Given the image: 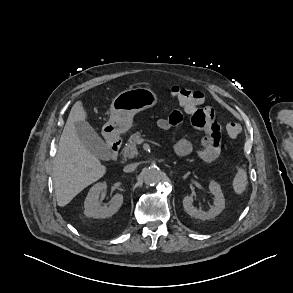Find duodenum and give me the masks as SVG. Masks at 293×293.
I'll list each match as a JSON object with an SVG mask.
<instances>
[{"mask_svg": "<svg viewBox=\"0 0 293 293\" xmlns=\"http://www.w3.org/2000/svg\"><path fill=\"white\" fill-rule=\"evenodd\" d=\"M121 144V140L117 137L108 138V147L111 160L116 161L119 158Z\"/></svg>", "mask_w": 293, "mask_h": 293, "instance_id": "1", "label": "duodenum"}]
</instances>
